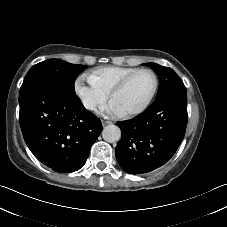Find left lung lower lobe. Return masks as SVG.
Segmentation results:
<instances>
[{
  "mask_svg": "<svg viewBox=\"0 0 227 227\" xmlns=\"http://www.w3.org/2000/svg\"><path fill=\"white\" fill-rule=\"evenodd\" d=\"M187 120L186 93H170L135 118L118 122L122 138L115 155L121 168L136 175L164 165L182 142Z\"/></svg>",
  "mask_w": 227,
  "mask_h": 227,
  "instance_id": "0a47b994",
  "label": "left lung lower lobe"
}]
</instances>
